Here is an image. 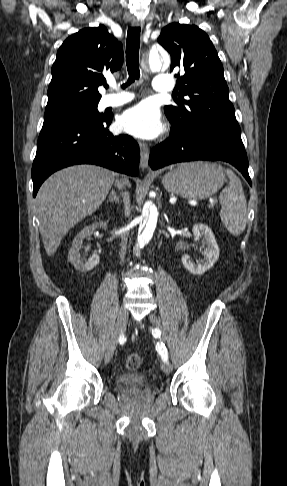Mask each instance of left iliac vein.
<instances>
[{
	"mask_svg": "<svg viewBox=\"0 0 287 486\" xmlns=\"http://www.w3.org/2000/svg\"><path fill=\"white\" fill-rule=\"evenodd\" d=\"M149 320L152 325L155 327L157 333H161V320L154 314L149 315ZM162 370L165 374H169L172 371V365L166 360L162 364Z\"/></svg>",
	"mask_w": 287,
	"mask_h": 486,
	"instance_id": "1",
	"label": "left iliac vein"
}]
</instances>
